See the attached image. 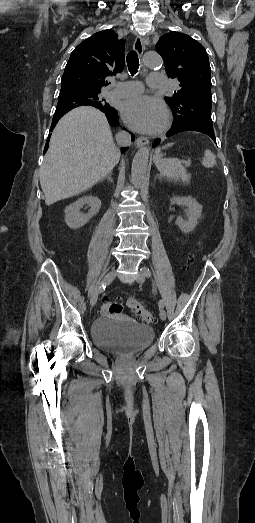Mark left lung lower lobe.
<instances>
[{
  "mask_svg": "<svg viewBox=\"0 0 255 523\" xmlns=\"http://www.w3.org/2000/svg\"><path fill=\"white\" fill-rule=\"evenodd\" d=\"M181 129H193V130H197V132H206V130H202V127H188V125H181V127L170 128L168 131H166V134H164V137H172L174 134L178 135V131H180ZM159 140H162V137H159ZM159 140L155 139L153 141L154 147H157L160 144ZM210 140H217V137H213V134H210Z\"/></svg>",
  "mask_w": 255,
  "mask_h": 523,
  "instance_id": "obj_1",
  "label": "left lung lower lobe"
}]
</instances>
